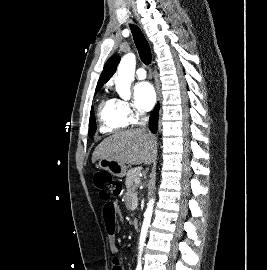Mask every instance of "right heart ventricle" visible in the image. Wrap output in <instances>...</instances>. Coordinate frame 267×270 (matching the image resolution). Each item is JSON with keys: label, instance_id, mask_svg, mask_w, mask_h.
Returning a JSON list of instances; mask_svg holds the SVG:
<instances>
[{"label": "right heart ventricle", "instance_id": "e07e8e85", "mask_svg": "<svg viewBox=\"0 0 267 270\" xmlns=\"http://www.w3.org/2000/svg\"><path fill=\"white\" fill-rule=\"evenodd\" d=\"M100 131L104 134L120 131L127 122L120 116L117 106L112 99H102L98 107Z\"/></svg>", "mask_w": 267, "mask_h": 270}]
</instances>
